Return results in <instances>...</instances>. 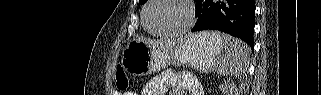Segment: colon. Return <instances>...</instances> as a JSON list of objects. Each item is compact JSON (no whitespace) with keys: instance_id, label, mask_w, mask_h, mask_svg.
Wrapping results in <instances>:
<instances>
[{"instance_id":"obj_1","label":"colon","mask_w":321,"mask_h":95,"mask_svg":"<svg viewBox=\"0 0 321 95\" xmlns=\"http://www.w3.org/2000/svg\"><path fill=\"white\" fill-rule=\"evenodd\" d=\"M114 79L119 90H126L128 87V78L121 66H117L114 71Z\"/></svg>"}]
</instances>
